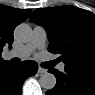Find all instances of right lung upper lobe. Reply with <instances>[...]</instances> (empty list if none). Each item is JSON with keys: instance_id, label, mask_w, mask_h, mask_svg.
Wrapping results in <instances>:
<instances>
[{"instance_id": "obj_1", "label": "right lung upper lobe", "mask_w": 95, "mask_h": 95, "mask_svg": "<svg viewBox=\"0 0 95 95\" xmlns=\"http://www.w3.org/2000/svg\"><path fill=\"white\" fill-rule=\"evenodd\" d=\"M30 10L17 9L5 5H0V67L9 64L1 58V52L4 45L11 46L14 38V28L26 20L30 14Z\"/></svg>"}]
</instances>
